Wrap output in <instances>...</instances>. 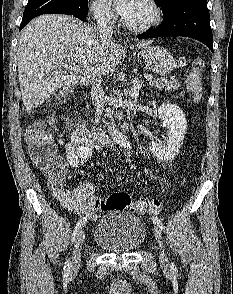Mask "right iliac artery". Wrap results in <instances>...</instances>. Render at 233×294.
Returning a JSON list of instances; mask_svg holds the SVG:
<instances>
[{
    "mask_svg": "<svg viewBox=\"0 0 233 294\" xmlns=\"http://www.w3.org/2000/svg\"><path fill=\"white\" fill-rule=\"evenodd\" d=\"M85 222H86V218H81V219L77 222V224H76V226H75V228H74V230H73L72 236H71L72 241L75 240L76 235H77L79 229L81 228L82 225L85 224ZM69 272H70V264H69V260H67V261L65 262V265H64V274L67 276V275H69Z\"/></svg>",
    "mask_w": 233,
    "mask_h": 294,
    "instance_id": "82829eb1",
    "label": "right iliac artery"
}]
</instances>
